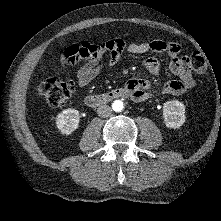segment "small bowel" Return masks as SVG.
Masks as SVG:
<instances>
[{
    "label": "small bowel",
    "mask_w": 221,
    "mask_h": 221,
    "mask_svg": "<svg viewBox=\"0 0 221 221\" xmlns=\"http://www.w3.org/2000/svg\"><path fill=\"white\" fill-rule=\"evenodd\" d=\"M79 57H86L87 62L77 71L76 80L79 86L84 87L90 84L108 66H114L121 58L123 51L131 54H145L148 52L162 53L169 55V69L177 77L176 80L168 81L162 85L160 91L170 95H180L194 87L195 81L191 74V68L186 58L181 56L179 44L171 41L153 40L142 43H127L123 39H112L101 44L83 42L77 45ZM148 71L158 76L160 64L155 57H148L144 60ZM130 97L138 102L147 100L154 89L152 83L144 79H131L124 87Z\"/></svg>",
    "instance_id": "c3829d8e"
}]
</instances>
